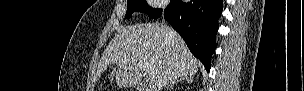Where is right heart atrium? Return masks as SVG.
I'll return each mask as SVG.
<instances>
[{"instance_id":"1","label":"right heart atrium","mask_w":304,"mask_h":91,"mask_svg":"<svg viewBox=\"0 0 304 91\" xmlns=\"http://www.w3.org/2000/svg\"><path fill=\"white\" fill-rule=\"evenodd\" d=\"M150 4H151V6H153L155 8H160L165 5V1L155 0V1H150Z\"/></svg>"}]
</instances>
